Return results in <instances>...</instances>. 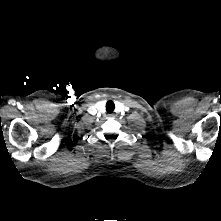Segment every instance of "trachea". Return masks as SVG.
<instances>
[{"mask_svg":"<svg viewBox=\"0 0 221 221\" xmlns=\"http://www.w3.org/2000/svg\"><path fill=\"white\" fill-rule=\"evenodd\" d=\"M114 107H115V105H114V103H113L112 101H108V102H107V104H106V110H107L108 113L113 112Z\"/></svg>","mask_w":221,"mask_h":221,"instance_id":"3493384b","label":"trachea"}]
</instances>
